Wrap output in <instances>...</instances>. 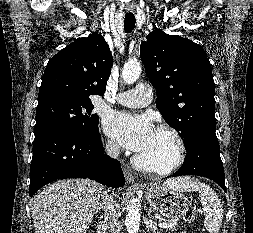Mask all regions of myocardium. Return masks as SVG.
<instances>
[{"label": "myocardium", "instance_id": "f54148a6", "mask_svg": "<svg viewBox=\"0 0 253 233\" xmlns=\"http://www.w3.org/2000/svg\"><path fill=\"white\" fill-rule=\"evenodd\" d=\"M155 130L166 133L172 137L177 148V154L175 158L171 163L167 165H157L153 163H148L142 160L138 155H135L133 158V164L136 168L140 170L160 175H166L178 169L184 163L187 156V147L180 132L171 125L160 124L155 128Z\"/></svg>", "mask_w": 253, "mask_h": 233}]
</instances>
